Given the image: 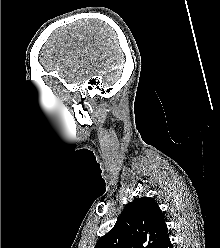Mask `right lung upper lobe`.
Instances as JSON below:
<instances>
[{"mask_svg": "<svg viewBox=\"0 0 220 248\" xmlns=\"http://www.w3.org/2000/svg\"><path fill=\"white\" fill-rule=\"evenodd\" d=\"M167 237L168 228L157 202L141 197L125 205L114 227L95 248H159Z\"/></svg>", "mask_w": 220, "mask_h": 248, "instance_id": "obj_1", "label": "right lung upper lobe"}]
</instances>
